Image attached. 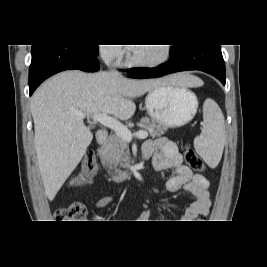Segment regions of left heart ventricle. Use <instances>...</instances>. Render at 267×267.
<instances>
[{
  "label": "left heart ventricle",
  "instance_id": "1",
  "mask_svg": "<svg viewBox=\"0 0 267 267\" xmlns=\"http://www.w3.org/2000/svg\"><path fill=\"white\" fill-rule=\"evenodd\" d=\"M133 54L139 61H152L160 58L163 54V47L160 45L138 46Z\"/></svg>",
  "mask_w": 267,
  "mask_h": 267
}]
</instances>
